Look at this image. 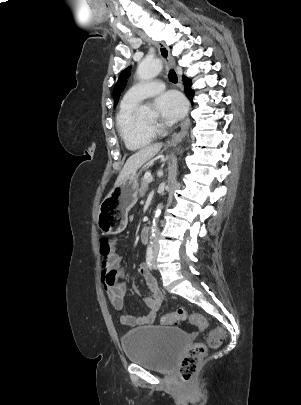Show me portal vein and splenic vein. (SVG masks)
<instances>
[{"mask_svg":"<svg viewBox=\"0 0 301 405\" xmlns=\"http://www.w3.org/2000/svg\"><path fill=\"white\" fill-rule=\"evenodd\" d=\"M151 177V174L150 173H146L145 175H144V178H146V179H149Z\"/></svg>","mask_w":301,"mask_h":405,"instance_id":"1","label":"portal vein and splenic vein"}]
</instances>
